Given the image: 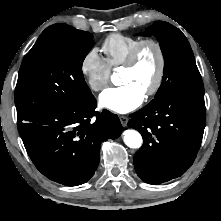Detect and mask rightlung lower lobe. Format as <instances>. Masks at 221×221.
<instances>
[{
  "mask_svg": "<svg viewBox=\"0 0 221 221\" xmlns=\"http://www.w3.org/2000/svg\"><path fill=\"white\" fill-rule=\"evenodd\" d=\"M91 94L63 110L40 112L18 121V131L36 168L66 186L87 182L99 164L101 142L122 133L117 115L95 112Z\"/></svg>",
  "mask_w": 221,
  "mask_h": 221,
  "instance_id": "1",
  "label": "right lung lower lobe"
}]
</instances>
